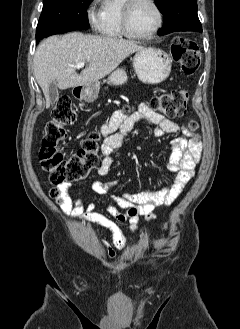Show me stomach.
<instances>
[{"mask_svg":"<svg viewBox=\"0 0 240 329\" xmlns=\"http://www.w3.org/2000/svg\"><path fill=\"white\" fill-rule=\"evenodd\" d=\"M133 68L140 81L146 84H158L164 81L171 71V59L161 49L148 47L137 51L133 57ZM128 77L123 69L115 70L108 78L111 85H122ZM100 83L93 82L81 88L80 97L85 101H94L99 94Z\"/></svg>","mask_w":240,"mask_h":329,"instance_id":"1","label":"stomach"}]
</instances>
